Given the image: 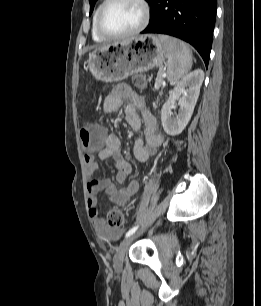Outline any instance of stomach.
<instances>
[{
  "label": "stomach",
  "mask_w": 261,
  "mask_h": 306,
  "mask_svg": "<svg viewBox=\"0 0 261 306\" xmlns=\"http://www.w3.org/2000/svg\"><path fill=\"white\" fill-rule=\"evenodd\" d=\"M165 49L153 34L138 35L98 48L89 54L87 69L102 82H117L160 67Z\"/></svg>",
  "instance_id": "stomach-1"
}]
</instances>
